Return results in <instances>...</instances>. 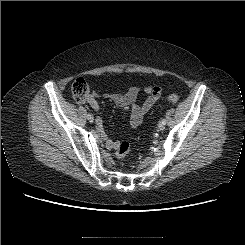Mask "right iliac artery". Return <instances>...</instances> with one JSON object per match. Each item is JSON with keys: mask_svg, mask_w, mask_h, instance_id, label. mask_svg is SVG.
<instances>
[{"mask_svg": "<svg viewBox=\"0 0 245 245\" xmlns=\"http://www.w3.org/2000/svg\"><path fill=\"white\" fill-rule=\"evenodd\" d=\"M87 117H91V115H90V114H88V115H87Z\"/></svg>", "mask_w": 245, "mask_h": 245, "instance_id": "obj_1", "label": "right iliac artery"}]
</instances>
